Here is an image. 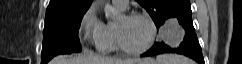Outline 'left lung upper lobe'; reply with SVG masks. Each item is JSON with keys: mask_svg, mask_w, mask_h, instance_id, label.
Listing matches in <instances>:
<instances>
[{"mask_svg": "<svg viewBox=\"0 0 242 64\" xmlns=\"http://www.w3.org/2000/svg\"><path fill=\"white\" fill-rule=\"evenodd\" d=\"M152 17L157 28L184 11H191L190 0H137Z\"/></svg>", "mask_w": 242, "mask_h": 64, "instance_id": "left-lung-upper-lobe-1", "label": "left lung upper lobe"}]
</instances>
